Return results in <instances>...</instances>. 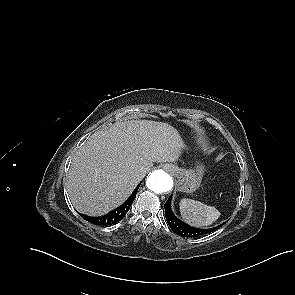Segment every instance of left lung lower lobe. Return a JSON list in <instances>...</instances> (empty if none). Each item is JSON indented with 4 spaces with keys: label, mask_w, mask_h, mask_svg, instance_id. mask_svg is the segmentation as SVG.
<instances>
[{
    "label": "left lung lower lobe",
    "mask_w": 295,
    "mask_h": 295,
    "mask_svg": "<svg viewBox=\"0 0 295 295\" xmlns=\"http://www.w3.org/2000/svg\"><path fill=\"white\" fill-rule=\"evenodd\" d=\"M171 199H172V196L169 197L168 201L164 205L165 216H166V220H167L170 228L176 234L183 236V237H198V236L213 232L223 225V224H221L217 227L209 228V229H199V228L191 227V226L187 225L186 223L182 222L181 220H179L174 215V213L172 212V209H171Z\"/></svg>",
    "instance_id": "0a47b994"
}]
</instances>
